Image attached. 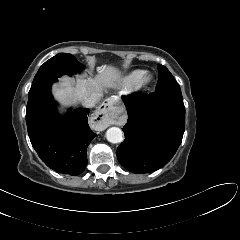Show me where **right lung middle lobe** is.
<instances>
[{"label":"right lung middle lobe","mask_w":240,"mask_h":240,"mask_svg":"<svg viewBox=\"0 0 240 240\" xmlns=\"http://www.w3.org/2000/svg\"><path fill=\"white\" fill-rule=\"evenodd\" d=\"M83 68L84 66L71 54H57L40 67L35 75L29 94L47 81L56 80L63 74L72 75L80 72Z\"/></svg>","instance_id":"right-lung-middle-lobe-1"}]
</instances>
